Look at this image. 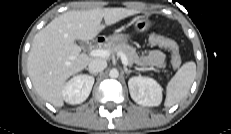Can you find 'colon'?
Here are the masks:
<instances>
[{
  "label": "colon",
  "mask_w": 231,
  "mask_h": 134,
  "mask_svg": "<svg viewBox=\"0 0 231 134\" xmlns=\"http://www.w3.org/2000/svg\"><path fill=\"white\" fill-rule=\"evenodd\" d=\"M148 43L151 46L166 48L171 51V64L174 69H178L181 66V56L178 44L167 37L161 35H150L148 37Z\"/></svg>",
  "instance_id": "5ec220e1"
}]
</instances>
